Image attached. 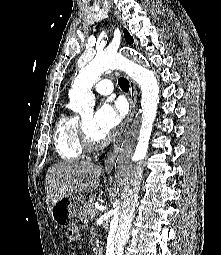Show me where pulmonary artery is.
Returning <instances> with one entry per match:
<instances>
[{"instance_id":"pulmonary-artery-1","label":"pulmonary artery","mask_w":221,"mask_h":255,"mask_svg":"<svg viewBox=\"0 0 221 255\" xmlns=\"http://www.w3.org/2000/svg\"><path fill=\"white\" fill-rule=\"evenodd\" d=\"M94 89L101 95H109L113 92V83L109 79H102L94 85Z\"/></svg>"}]
</instances>
